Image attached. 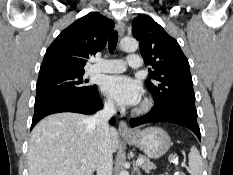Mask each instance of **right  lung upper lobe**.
<instances>
[{"label":"right lung upper lobe","instance_id":"1","mask_svg":"<svg viewBox=\"0 0 233 175\" xmlns=\"http://www.w3.org/2000/svg\"><path fill=\"white\" fill-rule=\"evenodd\" d=\"M114 22L89 13L64 29L47 49L39 77L83 72L90 56L104 49Z\"/></svg>","mask_w":233,"mask_h":175}]
</instances>
